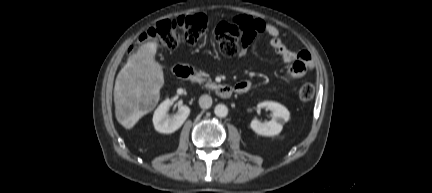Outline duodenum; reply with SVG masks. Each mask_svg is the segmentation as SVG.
I'll return each instance as SVG.
<instances>
[{
	"label": "duodenum",
	"instance_id": "410a0bca",
	"mask_svg": "<svg viewBox=\"0 0 432 193\" xmlns=\"http://www.w3.org/2000/svg\"><path fill=\"white\" fill-rule=\"evenodd\" d=\"M173 72L180 79L189 80L192 82L197 81L198 79L197 71L188 65L177 64L173 67ZM216 90L220 97L229 98L235 92V87L229 85H220Z\"/></svg>",
	"mask_w": 432,
	"mask_h": 193
}]
</instances>
